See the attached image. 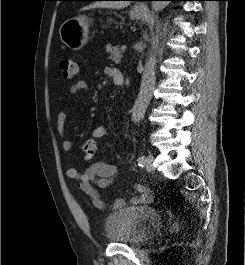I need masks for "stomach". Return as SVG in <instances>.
<instances>
[{"instance_id":"1","label":"stomach","mask_w":245,"mask_h":265,"mask_svg":"<svg viewBox=\"0 0 245 265\" xmlns=\"http://www.w3.org/2000/svg\"><path fill=\"white\" fill-rule=\"evenodd\" d=\"M143 14V11L135 9L130 11L132 19H139ZM91 23L92 20L86 15H79L66 20L59 29L61 41L73 51L82 49L89 40V27Z\"/></svg>"}]
</instances>
